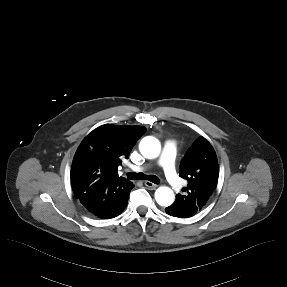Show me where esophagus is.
<instances>
[{"label": "esophagus", "instance_id": "1", "mask_svg": "<svg viewBox=\"0 0 287 287\" xmlns=\"http://www.w3.org/2000/svg\"><path fill=\"white\" fill-rule=\"evenodd\" d=\"M144 184H145L147 187L152 188V189H155V188L158 187V185H156V184H154V183H152V182H150V181H145Z\"/></svg>", "mask_w": 287, "mask_h": 287}]
</instances>
